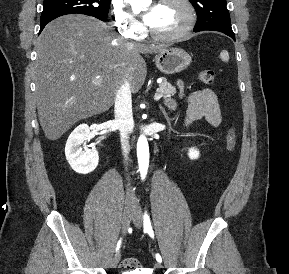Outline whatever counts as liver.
Listing matches in <instances>:
<instances>
[{
    "mask_svg": "<svg viewBox=\"0 0 289 274\" xmlns=\"http://www.w3.org/2000/svg\"><path fill=\"white\" fill-rule=\"evenodd\" d=\"M163 49L127 42L86 15L49 23L38 38L35 61L37 110L46 138L57 140L76 122L107 111L124 81L137 92L147 74L140 54Z\"/></svg>",
    "mask_w": 289,
    "mask_h": 274,
    "instance_id": "obj_1",
    "label": "liver"
}]
</instances>
